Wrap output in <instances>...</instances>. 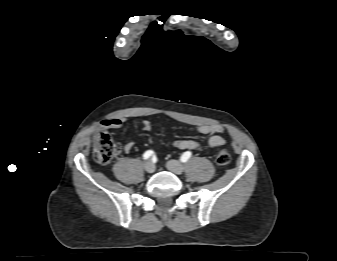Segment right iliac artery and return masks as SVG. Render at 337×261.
I'll use <instances>...</instances> for the list:
<instances>
[{
	"label": "right iliac artery",
	"instance_id": "82829eb1",
	"mask_svg": "<svg viewBox=\"0 0 337 261\" xmlns=\"http://www.w3.org/2000/svg\"><path fill=\"white\" fill-rule=\"evenodd\" d=\"M154 154V152L152 150H148L143 154V159L147 160L149 159L152 155Z\"/></svg>",
	"mask_w": 337,
	"mask_h": 261
}]
</instances>
